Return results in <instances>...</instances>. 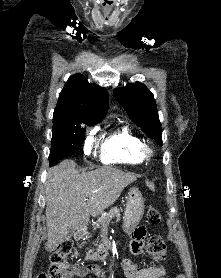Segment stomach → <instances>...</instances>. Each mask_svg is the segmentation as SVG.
<instances>
[{
  "instance_id": "1",
  "label": "stomach",
  "mask_w": 221,
  "mask_h": 278,
  "mask_svg": "<svg viewBox=\"0 0 221 278\" xmlns=\"http://www.w3.org/2000/svg\"><path fill=\"white\" fill-rule=\"evenodd\" d=\"M123 216V227L127 233L139 224L144 214V199L138 188L132 187L128 193Z\"/></svg>"
}]
</instances>
